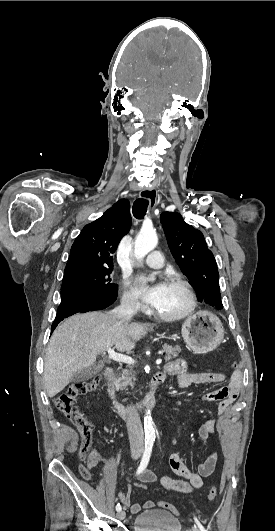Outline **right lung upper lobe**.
I'll return each mask as SVG.
<instances>
[{
  "label": "right lung upper lobe",
  "mask_w": 275,
  "mask_h": 531,
  "mask_svg": "<svg viewBox=\"0 0 275 531\" xmlns=\"http://www.w3.org/2000/svg\"><path fill=\"white\" fill-rule=\"evenodd\" d=\"M130 227V205L126 199H121L82 229L72 245L64 272L82 268H113V254Z\"/></svg>",
  "instance_id": "obj_1"
}]
</instances>
